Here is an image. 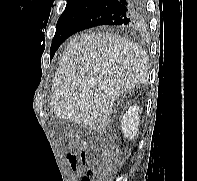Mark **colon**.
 I'll return each instance as SVG.
<instances>
[{
  "label": "colon",
  "mask_w": 197,
  "mask_h": 181,
  "mask_svg": "<svg viewBox=\"0 0 197 181\" xmlns=\"http://www.w3.org/2000/svg\"><path fill=\"white\" fill-rule=\"evenodd\" d=\"M84 162L88 161L90 168L81 181H107L118 168V159L113 148L101 149L93 156L83 151Z\"/></svg>",
  "instance_id": "5ec220e1"
}]
</instances>
